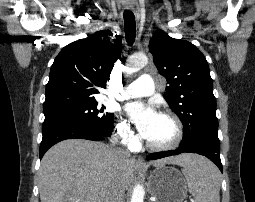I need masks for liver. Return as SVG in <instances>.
I'll return each instance as SVG.
<instances>
[{
    "label": "liver",
    "mask_w": 255,
    "mask_h": 202,
    "mask_svg": "<svg viewBox=\"0 0 255 202\" xmlns=\"http://www.w3.org/2000/svg\"><path fill=\"white\" fill-rule=\"evenodd\" d=\"M194 155L181 154L152 161L154 166H186ZM135 160L120 156L102 142L68 139L51 147L41 161V202H103L110 183L127 188L133 181Z\"/></svg>",
    "instance_id": "obj_1"
}]
</instances>
